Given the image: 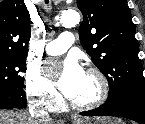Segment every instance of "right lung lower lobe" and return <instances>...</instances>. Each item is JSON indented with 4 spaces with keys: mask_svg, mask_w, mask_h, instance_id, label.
<instances>
[{
    "mask_svg": "<svg viewBox=\"0 0 145 124\" xmlns=\"http://www.w3.org/2000/svg\"><path fill=\"white\" fill-rule=\"evenodd\" d=\"M23 88H0V109L26 108Z\"/></svg>",
    "mask_w": 145,
    "mask_h": 124,
    "instance_id": "98d812e1",
    "label": "right lung lower lobe"
}]
</instances>
